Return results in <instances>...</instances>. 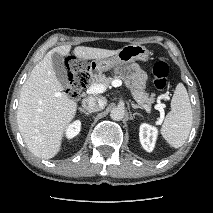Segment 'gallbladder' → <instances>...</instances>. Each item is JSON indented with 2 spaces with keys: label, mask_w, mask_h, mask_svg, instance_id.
I'll return each instance as SVG.
<instances>
[{
  "label": "gallbladder",
  "mask_w": 213,
  "mask_h": 213,
  "mask_svg": "<svg viewBox=\"0 0 213 213\" xmlns=\"http://www.w3.org/2000/svg\"><path fill=\"white\" fill-rule=\"evenodd\" d=\"M51 60H52L54 73L57 79L63 86H66L68 83V80H67V71L64 65L63 56H61L58 53H53L51 56Z\"/></svg>",
  "instance_id": "gallbladder-1"
}]
</instances>
